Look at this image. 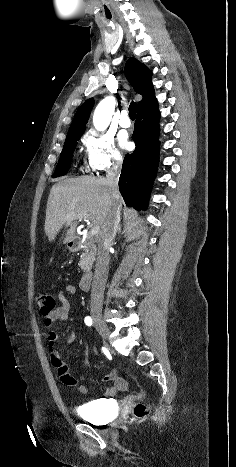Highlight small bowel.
<instances>
[{"instance_id":"obj_1","label":"small bowel","mask_w":236,"mask_h":467,"mask_svg":"<svg viewBox=\"0 0 236 467\" xmlns=\"http://www.w3.org/2000/svg\"><path fill=\"white\" fill-rule=\"evenodd\" d=\"M67 294L75 295L77 289L74 285H67L65 291H59L57 293V299L60 302V306L52 311L50 314L45 315L44 323L47 327H50L55 321H66L69 317V312L71 309V303L66 296ZM77 333L72 331L68 337L67 342L73 343L77 340ZM49 349H50V358L53 366L57 369L58 376L60 380L66 385H77L78 378L73 375L71 372V367L67 364L63 358L62 353L55 348V343L58 339V333L56 331H50L47 336ZM103 380L106 382H111L112 385L109 386L105 392L106 396H113L118 391L123 390L126 387L124 379L118 376L117 371L112 369L107 375L103 377ZM80 391L82 393H89L90 388L87 385H81Z\"/></svg>"}]
</instances>
